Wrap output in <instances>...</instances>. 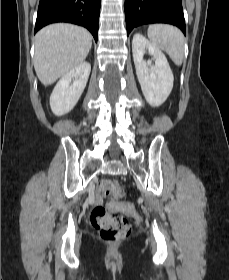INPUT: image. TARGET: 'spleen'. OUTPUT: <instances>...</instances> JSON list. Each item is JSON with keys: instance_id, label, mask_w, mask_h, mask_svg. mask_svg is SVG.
Wrapping results in <instances>:
<instances>
[{"instance_id": "1", "label": "spleen", "mask_w": 229, "mask_h": 280, "mask_svg": "<svg viewBox=\"0 0 229 280\" xmlns=\"http://www.w3.org/2000/svg\"><path fill=\"white\" fill-rule=\"evenodd\" d=\"M147 34L150 42L164 50L177 66L182 64L184 35L178 28L167 24H153L149 26Z\"/></svg>"}]
</instances>
